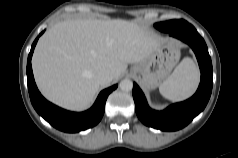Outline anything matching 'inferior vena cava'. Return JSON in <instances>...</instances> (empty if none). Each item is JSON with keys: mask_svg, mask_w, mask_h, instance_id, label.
Masks as SVG:
<instances>
[{"mask_svg": "<svg viewBox=\"0 0 238 158\" xmlns=\"http://www.w3.org/2000/svg\"><path fill=\"white\" fill-rule=\"evenodd\" d=\"M96 79L100 85L107 86L112 81V76L109 70L102 69L97 72Z\"/></svg>", "mask_w": 238, "mask_h": 158, "instance_id": "inferior-vena-cava-1", "label": "inferior vena cava"}]
</instances>
